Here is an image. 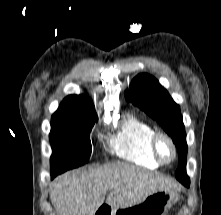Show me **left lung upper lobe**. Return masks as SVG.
I'll use <instances>...</instances> for the list:
<instances>
[{"label": "left lung upper lobe", "instance_id": "1", "mask_svg": "<svg viewBox=\"0 0 221 215\" xmlns=\"http://www.w3.org/2000/svg\"><path fill=\"white\" fill-rule=\"evenodd\" d=\"M127 101L132 102L156 120L170 135L178 148L179 164L175 176L178 180L190 181L186 173L187 143L183 118L179 105L151 75H137L125 92Z\"/></svg>", "mask_w": 221, "mask_h": 215}]
</instances>
